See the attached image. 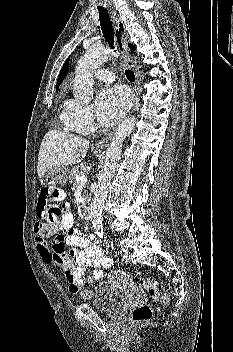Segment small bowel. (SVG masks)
<instances>
[{
  "label": "small bowel",
  "instance_id": "c3829d8e",
  "mask_svg": "<svg viewBox=\"0 0 233 352\" xmlns=\"http://www.w3.org/2000/svg\"><path fill=\"white\" fill-rule=\"evenodd\" d=\"M38 221H46L60 231L52 246L36 239L42 260L62 271L69 291L75 293L85 285L99 280L103 269L109 268L112 260L90 234L74 229V217L66 202L65 192L52 185L40 189L37 203ZM88 268H93L88 276Z\"/></svg>",
  "mask_w": 233,
  "mask_h": 352
}]
</instances>
